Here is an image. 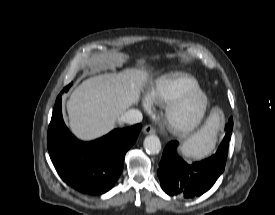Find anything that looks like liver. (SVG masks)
Listing matches in <instances>:
<instances>
[{
	"label": "liver",
	"mask_w": 275,
	"mask_h": 215,
	"mask_svg": "<svg viewBox=\"0 0 275 215\" xmlns=\"http://www.w3.org/2000/svg\"><path fill=\"white\" fill-rule=\"evenodd\" d=\"M151 74L144 67L105 73L82 82L67 102L69 127L82 140L98 138L138 103Z\"/></svg>",
	"instance_id": "6515ba94"
}]
</instances>
